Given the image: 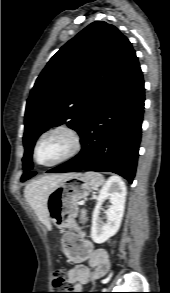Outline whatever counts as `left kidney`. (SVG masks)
<instances>
[{"instance_id":"obj_1","label":"left kidney","mask_w":170,"mask_h":293,"mask_svg":"<svg viewBox=\"0 0 170 293\" xmlns=\"http://www.w3.org/2000/svg\"><path fill=\"white\" fill-rule=\"evenodd\" d=\"M127 189L121 178L113 176L101 188L97 204L92 215L91 238L97 243L106 242L114 236L120 228L124 214ZM109 199L110 206L105 211L107 221L101 222L99 219L102 204Z\"/></svg>"}]
</instances>
